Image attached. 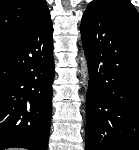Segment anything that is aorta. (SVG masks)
<instances>
[{"label":"aorta","mask_w":139,"mask_h":150,"mask_svg":"<svg viewBox=\"0 0 139 150\" xmlns=\"http://www.w3.org/2000/svg\"><path fill=\"white\" fill-rule=\"evenodd\" d=\"M82 61H83V65H85L86 64L85 58H82ZM83 72H84V78L87 77V73H86L85 68L83 69Z\"/></svg>","instance_id":"aorta-1"}]
</instances>
